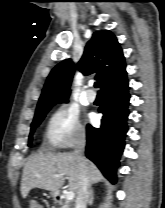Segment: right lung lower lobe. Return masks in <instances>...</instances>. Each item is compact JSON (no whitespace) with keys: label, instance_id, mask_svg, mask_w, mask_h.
<instances>
[{"label":"right lung lower lobe","instance_id":"1","mask_svg":"<svg viewBox=\"0 0 165 208\" xmlns=\"http://www.w3.org/2000/svg\"><path fill=\"white\" fill-rule=\"evenodd\" d=\"M129 86L126 72L117 80L105 86L102 91L103 113L101 126L87 125L86 156L102 171L112 183L116 182L119 158L124 149V139L129 115Z\"/></svg>","mask_w":165,"mask_h":208}]
</instances>
